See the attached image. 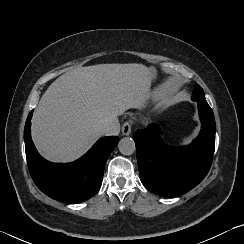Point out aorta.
<instances>
[{
    "label": "aorta",
    "instance_id": "aorta-1",
    "mask_svg": "<svg viewBox=\"0 0 244 244\" xmlns=\"http://www.w3.org/2000/svg\"><path fill=\"white\" fill-rule=\"evenodd\" d=\"M118 149L123 155H131L135 152V142L131 137H124L119 141Z\"/></svg>",
    "mask_w": 244,
    "mask_h": 244
}]
</instances>
